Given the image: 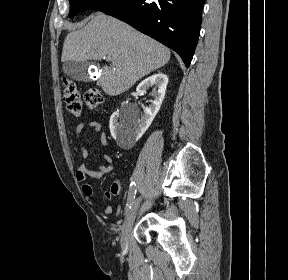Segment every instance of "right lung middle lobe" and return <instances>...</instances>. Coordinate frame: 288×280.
Segmentation results:
<instances>
[{
    "mask_svg": "<svg viewBox=\"0 0 288 280\" xmlns=\"http://www.w3.org/2000/svg\"><path fill=\"white\" fill-rule=\"evenodd\" d=\"M120 0H69L70 13L69 17H74L76 14L88 9H102Z\"/></svg>",
    "mask_w": 288,
    "mask_h": 280,
    "instance_id": "dd1d6c3e",
    "label": "right lung middle lobe"
}]
</instances>
